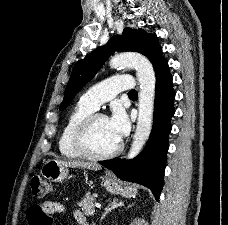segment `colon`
Segmentation results:
<instances>
[{
    "label": "colon",
    "instance_id": "colon-1",
    "mask_svg": "<svg viewBox=\"0 0 228 225\" xmlns=\"http://www.w3.org/2000/svg\"><path fill=\"white\" fill-rule=\"evenodd\" d=\"M50 183L43 177L37 175L31 179L30 191L35 200H41L48 195Z\"/></svg>",
    "mask_w": 228,
    "mask_h": 225
}]
</instances>
